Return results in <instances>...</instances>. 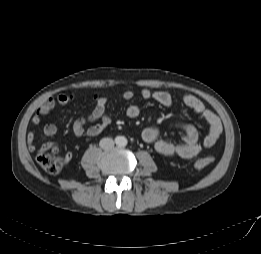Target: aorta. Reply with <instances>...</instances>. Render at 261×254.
Masks as SVG:
<instances>
[{"mask_svg":"<svg viewBox=\"0 0 261 254\" xmlns=\"http://www.w3.org/2000/svg\"><path fill=\"white\" fill-rule=\"evenodd\" d=\"M115 142L119 146L127 145V139L124 136H117L116 139H115Z\"/></svg>","mask_w":261,"mask_h":254,"instance_id":"obj_1","label":"aorta"}]
</instances>
